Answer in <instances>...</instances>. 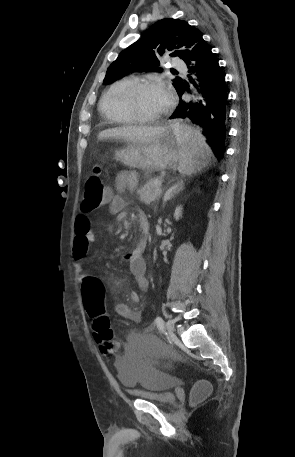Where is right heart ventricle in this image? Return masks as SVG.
I'll use <instances>...</instances> for the list:
<instances>
[{"mask_svg":"<svg viewBox=\"0 0 295 457\" xmlns=\"http://www.w3.org/2000/svg\"><path fill=\"white\" fill-rule=\"evenodd\" d=\"M134 82H136L134 77L120 79L111 84L103 93L99 102V110L111 123L133 124L137 122L126 111L121 100L124 90Z\"/></svg>","mask_w":295,"mask_h":457,"instance_id":"e07e8e85","label":"right heart ventricle"}]
</instances>
